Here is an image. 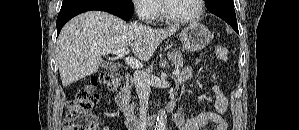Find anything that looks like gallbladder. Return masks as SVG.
<instances>
[{
    "instance_id": "1",
    "label": "gallbladder",
    "mask_w": 299,
    "mask_h": 130,
    "mask_svg": "<svg viewBox=\"0 0 299 130\" xmlns=\"http://www.w3.org/2000/svg\"><path fill=\"white\" fill-rule=\"evenodd\" d=\"M101 66L107 70H113L117 68V65L112 62H103Z\"/></svg>"
}]
</instances>
